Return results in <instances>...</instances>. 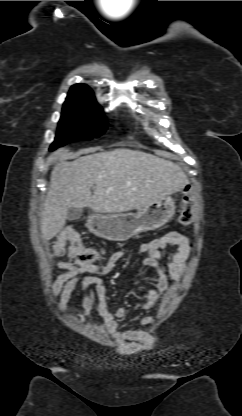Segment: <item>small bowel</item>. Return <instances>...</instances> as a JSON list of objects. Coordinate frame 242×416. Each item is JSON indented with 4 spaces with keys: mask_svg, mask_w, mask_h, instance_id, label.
I'll list each match as a JSON object with an SVG mask.
<instances>
[{
    "mask_svg": "<svg viewBox=\"0 0 242 416\" xmlns=\"http://www.w3.org/2000/svg\"><path fill=\"white\" fill-rule=\"evenodd\" d=\"M169 245L177 248L169 252L167 256H163V251ZM139 251L144 254L142 264L154 268L157 273L155 285L149 289L145 301L140 304L142 310L148 311L167 292L170 279H180L189 255V242L183 234L172 231L150 242L141 243ZM125 255L126 253L122 250L115 251L105 262L96 264L77 265L70 261H61L57 266L62 272L58 275L53 288V295L59 297L60 311L66 314L72 293L80 282L82 312L78 314L77 319L82 321L92 310H96L103 319L106 331L120 345L135 340L140 331L118 329V319L125 315V309L122 307L109 309L105 285L101 277L109 275ZM150 323L151 318L148 316L140 321L144 327Z\"/></svg>",
    "mask_w": 242,
    "mask_h": 416,
    "instance_id": "c3829d8e",
    "label": "small bowel"
}]
</instances>
